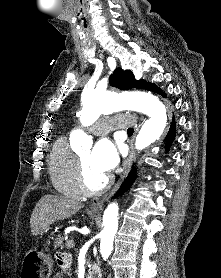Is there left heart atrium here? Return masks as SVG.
<instances>
[{
  "label": "left heart atrium",
  "mask_w": 221,
  "mask_h": 278,
  "mask_svg": "<svg viewBox=\"0 0 221 278\" xmlns=\"http://www.w3.org/2000/svg\"><path fill=\"white\" fill-rule=\"evenodd\" d=\"M118 151L113 141L100 140L91 152L93 166L103 174H109L118 164Z\"/></svg>",
  "instance_id": "39dd6f15"
}]
</instances>
